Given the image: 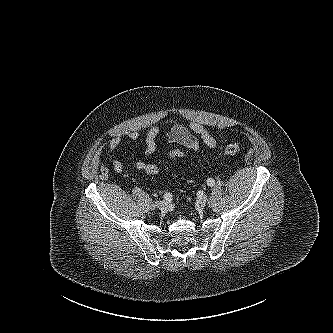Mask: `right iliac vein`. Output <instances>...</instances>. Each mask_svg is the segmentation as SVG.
<instances>
[{
	"label": "right iliac vein",
	"instance_id": "obj_1",
	"mask_svg": "<svg viewBox=\"0 0 333 333\" xmlns=\"http://www.w3.org/2000/svg\"><path fill=\"white\" fill-rule=\"evenodd\" d=\"M155 207L160 209L161 211H166L168 208V203L164 200H159L157 202H155Z\"/></svg>",
	"mask_w": 333,
	"mask_h": 333
}]
</instances>
